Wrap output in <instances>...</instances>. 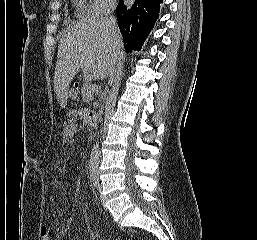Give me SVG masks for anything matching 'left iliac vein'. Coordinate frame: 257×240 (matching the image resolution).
I'll use <instances>...</instances> for the list:
<instances>
[{
  "instance_id": "4c4485c4",
  "label": "left iliac vein",
  "mask_w": 257,
  "mask_h": 240,
  "mask_svg": "<svg viewBox=\"0 0 257 240\" xmlns=\"http://www.w3.org/2000/svg\"><path fill=\"white\" fill-rule=\"evenodd\" d=\"M98 190H99V192L101 193L102 187H101L100 184L98 185ZM100 198H101V201H102V196H100Z\"/></svg>"
}]
</instances>
